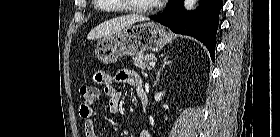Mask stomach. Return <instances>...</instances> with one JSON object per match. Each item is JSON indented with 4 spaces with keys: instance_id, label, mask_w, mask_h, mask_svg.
<instances>
[{
    "instance_id": "0dacf381",
    "label": "stomach",
    "mask_w": 280,
    "mask_h": 137,
    "mask_svg": "<svg viewBox=\"0 0 280 137\" xmlns=\"http://www.w3.org/2000/svg\"><path fill=\"white\" fill-rule=\"evenodd\" d=\"M170 41L171 35L163 27L154 22H146L102 39L96 46L95 54L102 63L113 64L123 56L160 51Z\"/></svg>"
}]
</instances>
